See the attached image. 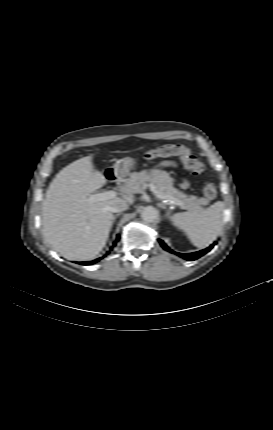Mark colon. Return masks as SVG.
I'll return each mask as SVG.
<instances>
[{
    "instance_id": "colon-1",
    "label": "colon",
    "mask_w": 273,
    "mask_h": 430,
    "mask_svg": "<svg viewBox=\"0 0 273 430\" xmlns=\"http://www.w3.org/2000/svg\"><path fill=\"white\" fill-rule=\"evenodd\" d=\"M159 156H179L183 165L193 174H202L205 171L203 163L183 145H164L156 149H151L145 154L147 159ZM202 193L205 198L214 199L217 195L216 185L212 182H205L202 186Z\"/></svg>"
}]
</instances>
